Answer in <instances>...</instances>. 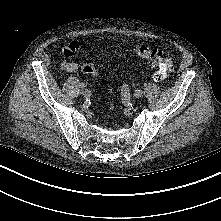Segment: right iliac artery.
Masks as SVG:
<instances>
[{
	"label": "right iliac artery",
	"instance_id": "obj_1",
	"mask_svg": "<svg viewBox=\"0 0 221 221\" xmlns=\"http://www.w3.org/2000/svg\"><path fill=\"white\" fill-rule=\"evenodd\" d=\"M90 96H91V91L86 89V97L85 98L88 99V98H90Z\"/></svg>",
	"mask_w": 221,
	"mask_h": 221
}]
</instances>
